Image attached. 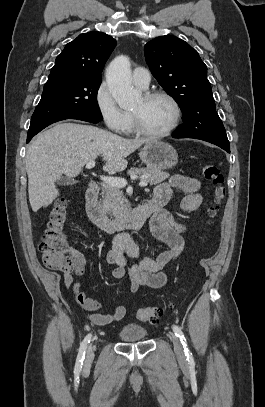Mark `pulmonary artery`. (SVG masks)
<instances>
[{
  "mask_svg": "<svg viewBox=\"0 0 265 407\" xmlns=\"http://www.w3.org/2000/svg\"><path fill=\"white\" fill-rule=\"evenodd\" d=\"M132 80L137 87L146 89L151 80L150 72L143 67H137L133 70Z\"/></svg>",
  "mask_w": 265,
  "mask_h": 407,
  "instance_id": "pulmonary-artery-1",
  "label": "pulmonary artery"
}]
</instances>
